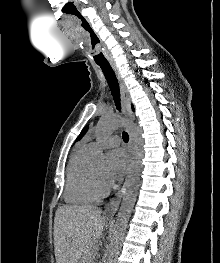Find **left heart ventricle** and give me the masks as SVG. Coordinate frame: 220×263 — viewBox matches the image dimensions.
<instances>
[{
    "label": "left heart ventricle",
    "instance_id": "left-heart-ventricle-1",
    "mask_svg": "<svg viewBox=\"0 0 220 263\" xmlns=\"http://www.w3.org/2000/svg\"><path fill=\"white\" fill-rule=\"evenodd\" d=\"M95 172L98 175V177L103 181V182H107L106 178H105V172L106 169L105 167H95Z\"/></svg>",
    "mask_w": 220,
    "mask_h": 263
}]
</instances>
